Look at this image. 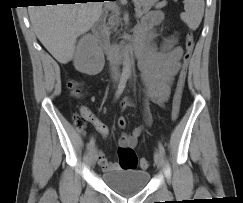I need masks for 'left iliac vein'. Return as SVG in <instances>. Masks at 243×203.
I'll return each instance as SVG.
<instances>
[{"label":"left iliac vein","instance_id":"4c4485c4","mask_svg":"<svg viewBox=\"0 0 243 203\" xmlns=\"http://www.w3.org/2000/svg\"><path fill=\"white\" fill-rule=\"evenodd\" d=\"M154 161L159 168L164 166V157L159 150H156L154 153Z\"/></svg>","mask_w":243,"mask_h":203}]
</instances>
